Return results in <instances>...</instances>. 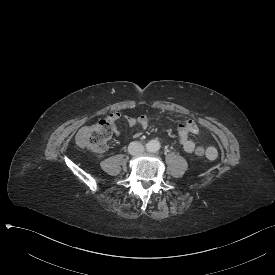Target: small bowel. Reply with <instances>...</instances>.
<instances>
[{
  "instance_id": "obj_1",
  "label": "small bowel",
  "mask_w": 275,
  "mask_h": 275,
  "mask_svg": "<svg viewBox=\"0 0 275 275\" xmlns=\"http://www.w3.org/2000/svg\"><path fill=\"white\" fill-rule=\"evenodd\" d=\"M119 118L128 119L131 124L136 123L132 116L121 113L120 111L111 113L108 117V120L110 122H113L114 120ZM140 119L142 121L139 122ZM146 122H147L146 117L140 116L138 119V127L140 129H143L146 125ZM178 135H179V144L183 148V150L187 153H192L195 149V143L190 138V135H200V129L198 125L193 120L189 118H185L178 126ZM114 136L116 138H119L121 136V133L119 131H116L114 133ZM136 136H139V134H136ZM207 151H215L217 153L216 149L211 146L207 148Z\"/></svg>"
}]
</instances>
